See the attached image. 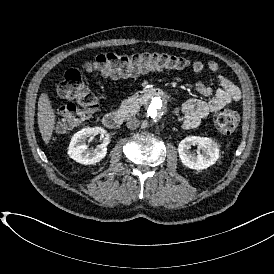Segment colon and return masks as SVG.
Here are the masks:
<instances>
[{
    "label": "colon",
    "mask_w": 274,
    "mask_h": 274,
    "mask_svg": "<svg viewBox=\"0 0 274 274\" xmlns=\"http://www.w3.org/2000/svg\"><path fill=\"white\" fill-rule=\"evenodd\" d=\"M188 65L187 58L162 52H108L87 60L84 69L87 72H98L110 78H119L145 71L184 69ZM57 89L61 98L57 104L56 125L59 130L65 131L69 127L78 126L86 113L97 110V100L78 68H68L59 81ZM239 122L237 112L232 110H220L215 116V125L223 134L235 131Z\"/></svg>",
    "instance_id": "obj_1"
}]
</instances>
